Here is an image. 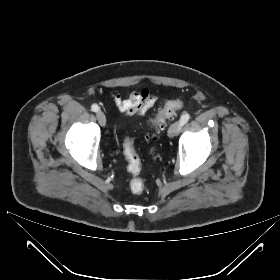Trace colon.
I'll use <instances>...</instances> for the list:
<instances>
[{"label": "colon", "instance_id": "5ec220e1", "mask_svg": "<svg viewBox=\"0 0 280 280\" xmlns=\"http://www.w3.org/2000/svg\"><path fill=\"white\" fill-rule=\"evenodd\" d=\"M184 106L181 100L168 102L160 109L152 120L155 129L165 126L166 120L174 117L176 112ZM124 154L128 161L129 171L135 175L130 181V190L134 194H140L144 190V181L138 176L141 171V162L134 147V138L128 137L124 142Z\"/></svg>", "mask_w": 280, "mask_h": 280}]
</instances>
